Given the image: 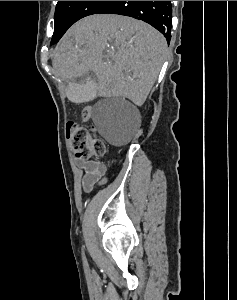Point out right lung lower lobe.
<instances>
[{
    "label": "right lung lower lobe",
    "instance_id": "1",
    "mask_svg": "<svg viewBox=\"0 0 237 300\" xmlns=\"http://www.w3.org/2000/svg\"><path fill=\"white\" fill-rule=\"evenodd\" d=\"M111 13L130 16L149 23L171 39L172 6L170 1H107L95 14Z\"/></svg>",
    "mask_w": 237,
    "mask_h": 300
}]
</instances>
